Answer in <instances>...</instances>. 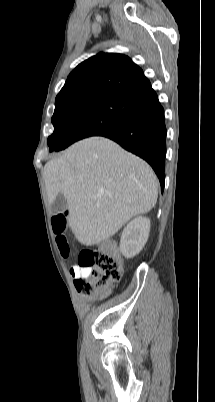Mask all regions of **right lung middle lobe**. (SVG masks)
Returning a JSON list of instances; mask_svg holds the SVG:
<instances>
[{"label": "right lung middle lobe", "mask_w": 215, "mask_h": 402, "mask_svg": "<svg viewBox=\"0 0 215 402\" xmlns=\"http://www.w3.org/2000/svg\"><path fill=\"white\" fill-rule=\"evenodd\" d=\"M141 104L107 93L70 95L56 99L52 116L51 151L63 150L90 136L109 133L126 122Z\"/></svg>", "instance_id": "right-lung-middle-lobe-1"}]
</instances>
